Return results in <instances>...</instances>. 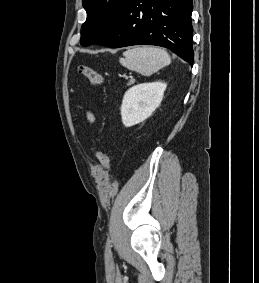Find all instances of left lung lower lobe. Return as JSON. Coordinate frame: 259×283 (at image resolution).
Returning <instances> with one entry per match:
<instances>
[{
    "label": "left lung lower lobe",
    "instance_id": "left-lung-lower-lobe-1",
    "mask_svg": "<svg viewBox=\"0 0 259 283\" xmlns=\"http://www.w3.org/2000/svg\"><path fill=\"white\" fill-rule=\"evenodd\" d=\"M192 9V0H129L115 26L97 44L162 46L192 64Z\"/></svg>",
    "mask_w": 259,
    "mask_h": 283
}]
</instances>
